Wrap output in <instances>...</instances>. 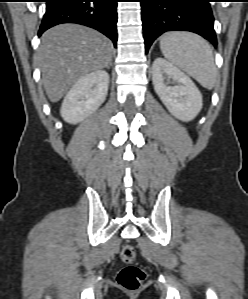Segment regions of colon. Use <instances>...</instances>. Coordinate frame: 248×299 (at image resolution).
<instances>
[{"instance_id":"colon-1","label":"colon","mask_w":248,"mask_h":299,"mask_svg":"<svg viewBox=\"0 0 248 299\" xmlns=\"http://www.w3.org/2000/svg\"><path fill=\"white\" fill-rule=\"evenodd\" d=\"M121 260L125 266L117 275V283L127 291L138 290L146 277V272L135 264L136 251L132 245L127 244L122 248Z\"/></svg>"}]
</instances>
